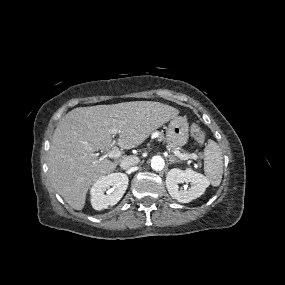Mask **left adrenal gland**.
Masks as SVG:
<instances>
[{
    "instance_id": "left-adrenal-gland-1",
    "label": "left adrenal gland",
    "mask_w": 285,
    "mask_h": 285,
    "mask_svg": "<svg viewBox=\"0 0 285 285\" xmlns=\"http://www.w3.org/2000/svg\"><path fill=\"white\" fill-rule=\"evenodd\" d=\"M168 158H169L170 164L180 162V160H178L174 155H169Z\"/></svg>"
}]
</instances>
